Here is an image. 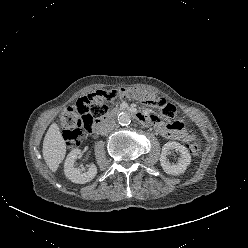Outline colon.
<instances>
[{
	"label": "colon",
	"instance_id": "5ec220e1",
	"mask_svg": "<svg viewBox=\"0 0 248 248\" xmlns=\"http://www.w3.org/2000/svg\"><path fill=\"white\" fill-rule=\"evenodd\" d=\"M121 95L133 96L145 104L158 108L164 120L175 117L177 110L174 105L150 93L132 89H111L99 91L94 94L84 95L77 100L74 106L67 108L60 116V125L67 147L70 150L77 148L85 135L89 132L95 121L104 117L108 111L105 101H111ZM192 155H198L201 146L198 142L188 145Z\"/></svg>",
	"mask_w": 248,
	"mask_h": 248
}]
</instances>
